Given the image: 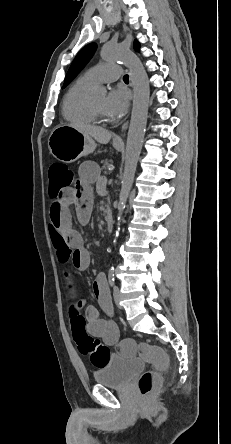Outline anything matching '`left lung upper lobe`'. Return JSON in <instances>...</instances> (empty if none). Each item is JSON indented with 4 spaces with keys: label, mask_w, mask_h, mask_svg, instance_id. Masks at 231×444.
I'll use <instances>...</instances> for the list:
<instances>
[{
    "label": "left lung upper lobe",
    "mask_w": 231,
    "mask_h": 444,
    "mask_svg": "<svg viewBox=\"0 0 231 444\" xmlns=\"http://www.w3.org/2000/svg\"><path fill=\"white\" fill-rule=\"evenodd\" d=\"M95 49L96 44L90 43L77 54L65 77L63 88L66 87L84 68V66L87 64V62L90 60L91 56L95 52ZM134 49L136 51H139L140 49V44L137 40L134 41Z\"/></svg>",
    "instance_id": "1"
}]
</instances>
